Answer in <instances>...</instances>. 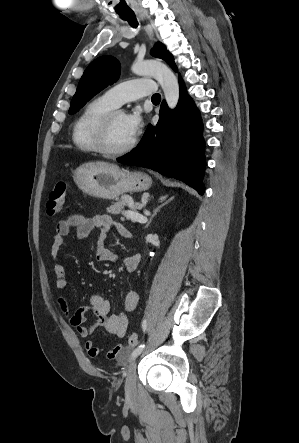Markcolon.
Returning <instances> with one entry per match:
<instances>
[{
  "instance_id": "1",
  "label": "colon",
  "mask_w": 299,
  "mask_h": 443,
  "mask_svg": "<svg viewBox=\"0 0 299 443\" xmlns=\"http://www.w3.org/2000/svg\"><path fill=\"white\" fill-rule=\"evenodd\" d=\"M67 185L64 181H58L53 189L50 191L47 202L46 211L48 216H56L62 209L66 196ZM139 343V336L137 333H131L128 337V345L130 348L137 346ZM126 352H122L120 358L124 359Z\"/></svg>"
}]
</instances>
